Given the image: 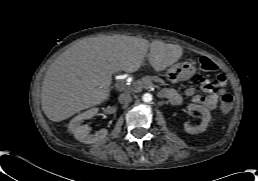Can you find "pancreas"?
Returning <instances> with one entry per match:
<instances>
[{
  "label": "pancreas",
  "instance_id": "obj_1",
  "mask_svg": "<svg viewBox=\"0 0 258 181\" xmlns=\"http://www.w3.org/2000/svg\"><path fill=\"white\" fill-rule=\"evenodd\" d=\"M153 82L158 83L160 86H164V87L169 86V84L165 80L159 79V78H153V77H150V76L143 77V78L138 79V80H134L133 83H132V86L133 87L149 86V85H152Z\"/></svg>",
  "mask_w": 258,
  "mask_h": 181
}]
</instances>
